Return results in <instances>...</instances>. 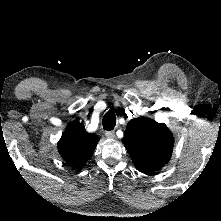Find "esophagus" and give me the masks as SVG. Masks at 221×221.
Returning <instances> with one entry per match:
<instances>
[{
	"instance_id": "34e87169",
	"label": "esophagus",
	"mask_w": 221,
	"mask_h": 221,
	"mask_svg": "<svg viewBox=\"0 0 221 221\" xmlns=\"http://www.w3.org/2000/svg\"><path fill=\"white\" fill-rule=\"evenodd\" d=\"M105 135L108 139H115V132L114 131H107L105 133Z\"/></svg>"
}]
</instances>
